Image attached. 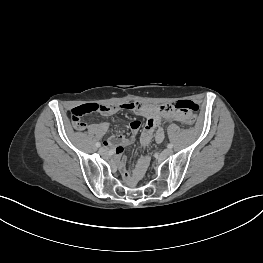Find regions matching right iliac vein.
I'll return each mask as SVG.
<instances>
[{"mask_svg":"<svg viewBox=\"0 0 263 263\" xmlns=\"http://www.w3.org/2000/svg\"><path fill=\"white\" fill-rule=\"evenodd\" d=\"M99 153H100L101 155H106V154H107V150H106L105 148L101 147V148L99 149Z\"/></svg>","mask_w":263,"mask_h":263,"instance_id":"63e3f726","label":"right iliac vein"}]
</instances>
